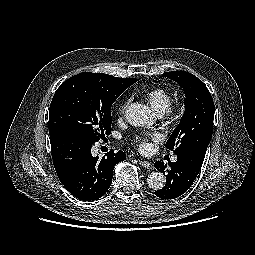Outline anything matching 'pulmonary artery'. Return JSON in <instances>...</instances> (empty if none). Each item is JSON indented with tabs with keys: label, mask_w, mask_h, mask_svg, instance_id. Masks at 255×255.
Listing matches in <instances>:
<instances>
[{
	"label": "pulmonary artery",
	"mask_w": 255,
	"mask_h": 255,
	"mask_svg": "<svg viewBox=\"0 0 255 255\" xmlns=\"http://www.w3.org/2000/svg\"><path fill=\"white\" fill-rule=\"evenodd\" d=\"M171 160H172L173 162H176V161H177V157H176V156H173Z\"/></svg>",
	"instance_id": "pulmonary-artery-1"
}]
</instances>
